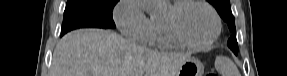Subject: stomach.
I'll return each instance as SVG.
<instances>
[{
  "instance_id": "0dacf381",
  "label": "stomach",
  "mask_w": 287,
  "mask_h": 76,
  "mask_svg": "<svg viewBox=\"0 0 287 76\" xmlns=\"http://www.w3.org/2000/svg\"><path fill=\"white\" fill-rule=\"evenodd\" d=\"M204 65L195 57H188L181 65L177 76H202Z\"/></svg>"
}]
</instances>
